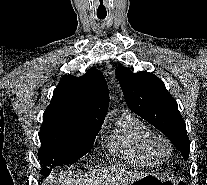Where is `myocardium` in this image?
Masks as SVG:
<instances>
[{
	"mask_svg": "<svg viewBox=\"0 0 207 185\" xmlns=\"http://www.w3.org/2000/svg\"><path fill=\"white\" fill-rule=\"evenodd\" d=\"M152 147L156 154L163 159L171 157L174 151L171 141L163 135H153Z\"/></svg>",
	"mask_w": 207,
	"mask_h": 185,
	"instance_id": "1",
	"label": "myocardium"
}]
</instances>
